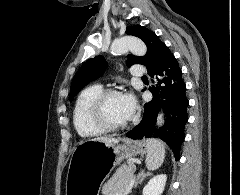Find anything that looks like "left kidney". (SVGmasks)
<instances>
[{"instance_id": "left-kidney-1", "label": "left kidney", "mask_w": 240, "mask_h": 195, "mask_svg": "<svg viewBox=\"0 0 240 195\" xmlns=\"http://www.w3.org/2000/svg\"><path fill=\"white\" fill-rule=\"evenodd\" d=\"M167 181L166 173H160V175H154L143 187V195H161Z\"/></svg>"}]
</instances>
